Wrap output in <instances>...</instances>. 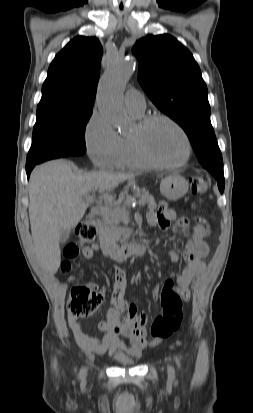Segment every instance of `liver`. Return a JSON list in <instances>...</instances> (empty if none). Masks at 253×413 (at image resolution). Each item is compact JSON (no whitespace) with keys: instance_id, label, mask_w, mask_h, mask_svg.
<instances>
[{"instance_id":"liver-1","label":"liver","mask_w":253,"mask_h":413,"mask_svg":"<svg viewBox=\"0 0 253 413\" xmlns=\"http://www.w3.org/2000/svg\"><path fill=\"white\" fill-rule=\"evenodd\" d=\"M132 174L98 171L74 172L65 160H53L37 166L29 182V218L35 252L40 265L50 274L61 262L59 236L80 222L88 205L83 198L99 189L100 200L112 203L118 185Z\"/></svg>"}]
</instances>
